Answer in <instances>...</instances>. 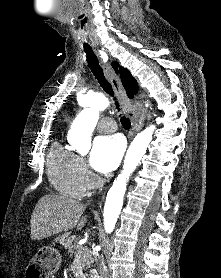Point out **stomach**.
Returning <instances> with one entry per match:
<instances>
[{
	"instance_id": "1",
	"label": "stomach",
	"mask_w": 221,
	"mask_h": 278,
	"mask_svg": "<svg viewBox=\"0 0 221 278\" xmlns=\"http://www.w3.org/2000/svg\"><path fill=\"white\" fill-rule=\"evenodd\" d=\"M62 259L60 253L51 247H43L35 259L26 264L27 278H49L60 268Z\"/></svg>"
}]
</instances>
